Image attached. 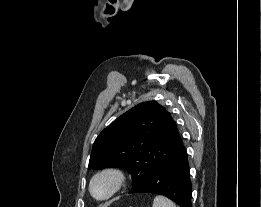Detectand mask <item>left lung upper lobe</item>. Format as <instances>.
<instances>
[{
  "label": "left lung upper lobe",
  "mask_w": 261,
  "mask_h": 207,
  "mask_svg": "<svg viewBox=\"0 0 261 207\" xmlns=\"http://www.w3.org/2000/svg\"><path fill=\"white\" fill-rule=\"evenodd\" d=\"M183 148L176 122L156 101L143 102L118 117L96 138L90 169L119 167L134 187Z\"/></svg>",
  "instance_id": "obj_1"
}]
</instances>
